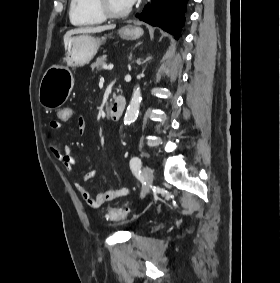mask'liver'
<instances>
[{
    "label": "liver",
    "instance_id": "liver-1",
    "mask_svg": "<svg viewBox=\"0 0 280 283\" xmlns=\"http://www.w3.org/2000/svg\"><path fill=\"white\" fill-rule=\"evenodd\" d=\"M116 25H104V26H97V27H80L76 29H72L67 31L64 35V45L65 48L67 47L68 40L74 34H87V33H100L106 30L114 29Z\"/></svg>",
    "mask_w": 280,
    "mask_h": 283
}]
</instances>
